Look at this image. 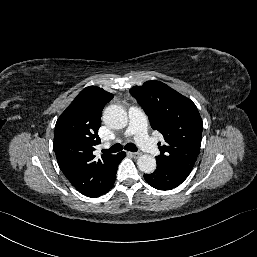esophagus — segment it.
I'll use <instances>...</instances> for the list:
<instances>
[{"label":"esophagus","instance_id":"1","mask_svg":"<svg viewBox=\"0 0 257 257\" xmlns=\"http://www.w3.org/2000/svg\"><path fill=\"white\" fill-rule=\"evenodd\" d=\"M130 154L135 158H138L141 155L140 152H131Z\"/></svg>","mask_w":257,"mask_h":257}]
</instances>
